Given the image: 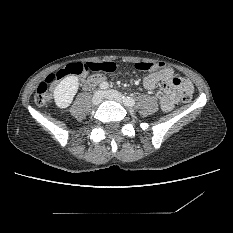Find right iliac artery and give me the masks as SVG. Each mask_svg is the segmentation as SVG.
I'll list each match as a JSON object with an SVG mask.
<instances>
[{"label":"right iliac artery","mask_w":233,"mask_h":233,"mask_svg":"<svg viewBox=\"0 0 233 233\" xmlns=\"http://www.w3.org/2000/svg\"><path fill=\"white\" fill-rule=\"evenodd\" d=\"M108 88V83L107 82H103L100 84V89L103 91V90H106Z\"/></svg>","instance_id":"82829eb1"}]
</instances>
